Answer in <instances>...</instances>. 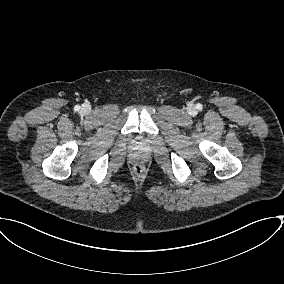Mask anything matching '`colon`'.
Listing matches in <instances>:
<instances>
[{
    "label": "colon",
    "mask_w": 284,
    "mask_h": 284,
    "mask_svg": "<svg viewBox=\"0 0 284 284\" xmlns=\"http://www.w3.org/2000/svg\"><path fill=\"white\" fill-rule=\"evenodd\" d=\"M143 170H144V167H143L142 164H136V165L134 166V171H135L137 174L142 173Z\"/></svg>",
    "instance_id": "5ec220e1"
}]
</instances>
